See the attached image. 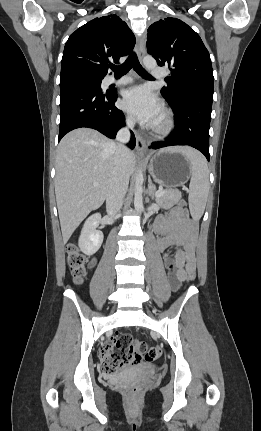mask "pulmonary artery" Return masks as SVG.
I'll list each match as a JSON object with an SVG mask.
<instances>
[{"instance_id": "e3ab8cb5", "label": "pulmonary artery", "mask_w": 261, "mask_h": 431, "mask_svg": "<svg viewBox=\"0 0 261 431\" xmlns=\"http://www.w3.org/2000/svg\"><path fill=\"white\" fill-rule=\"evenodd\" d=\"M152 75L155 78H162L166 76V71L163 68L157 67L152 70ZM132 82V78L128 76H124L120 79L110 78L108 80L109 84L122 85Z\"/></svg>"}]
</instances>
